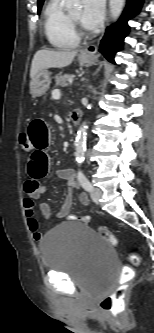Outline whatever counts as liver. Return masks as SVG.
Instances as JSON below:
<instances>
[{
	"mask_svg": "<svg viewBox=\"0 0 154 333\" xmlns=\"http://www.w3.org/2000/svg\"><path fill=\"white\" fill-rule=\"evenodd\" d=\"M77 51L71 50H48L42 49L36 52L32 60L30 77L33 79L35 75L43 69L61 68L72 63Z\"/></svg>",
	"mask_w": 154,
	"mask_h": 333,
	"instance_id": "liver-1",
	"label": "liver"
}]
</instances>
